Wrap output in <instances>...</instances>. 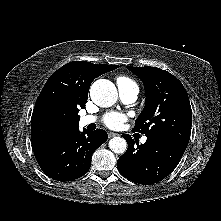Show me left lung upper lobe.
Wrapping results in <instances>:
<instances>
[{
	"label": "left lung upper lobe",
	"instance_id": "left-lung-upper-lobe-1",
	"mask_svg": "<svg viewBox=\"0 0 221 221\" xmlns=\"http://www.w3.org/2000/svg\"><path fill=\"white\" fill-rule=\"evenodd\" d=\"M127 68L143 81L146 92L145 108L133 131L185 150L191 134L192 110L182 83L156 67Z\"/></svg>",
	"mask_w": 221,
	"mask_h": 221
}]
</instances>
